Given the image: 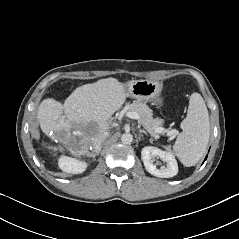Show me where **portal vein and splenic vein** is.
<instances>
[{
  "label": "portal vein and splenic vein",
  "mask_w": 239,
  "mask_h": 239,
  "mask_svg": "<svg viewBox=\"0 0 239 239\" xmlns=\"http://www.w3.org/2000/svg\"><path fill=\"white\" fill-rule=\"evenodd\" d=\"M126 116H128L129 118H132V119H137L139 120L140 119V115L136 112H127L126 113ZM156 133H162L163 131H165V133L168 135V136H176L179 134V131L176 130V129H173V130H164L163 128L159 127L157 128L156 130Z\"/></svg>",
  "instance_id": "1"
}]
</instances>
